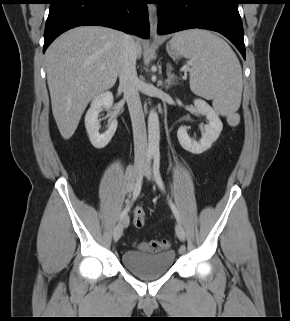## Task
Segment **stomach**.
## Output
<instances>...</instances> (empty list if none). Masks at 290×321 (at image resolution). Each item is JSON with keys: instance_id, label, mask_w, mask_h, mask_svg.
Here are the masks:
<instances>
[{"instance_id": "obj_1", "label": "stomach", "mask_w": 290, "mask_h": 321, "mask_svg": "<svg viewBox=\"0 0 290 321\" xmlns=\"http://www.w3.org/2000/svg\"><path fill=\"white\" fill-rule=\"evenodd\" d=\"M166 50L168 54L174 59H179L182 56H184L181 50L176 45H174L171 41L167 43Z\"/></svg>"}]
</instances>
